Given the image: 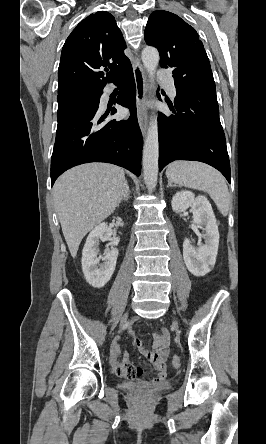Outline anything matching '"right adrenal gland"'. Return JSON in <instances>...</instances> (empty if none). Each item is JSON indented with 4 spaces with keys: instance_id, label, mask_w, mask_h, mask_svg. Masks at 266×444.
<instances>
[{
    "instance_id": "2a0ac1e0",
    "label": "right adrenal gland",
    "mask_w": 266,
    "mask_h": 444,
    "mask_svg": "<svg viewBox=\"0 0 266 444\" xmlns=\"http://www.w3.org/2000/svg\"><path fill=\"white\" fill-rule=\"evenodd\" d=\"M129 194H130V190H129V187H128L127 182H126V184H125V189L123 190V192H122L121 195H120V198H119V201H118L117 207H119V205H120L123 201H128V199L130 198V197H129Z\"/></svg>"
}]
</instances>
